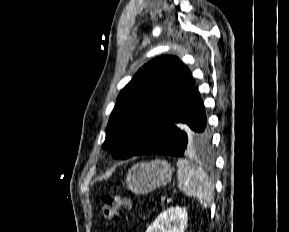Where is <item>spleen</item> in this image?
<instances>
[{"label":"spleen","instance_id":"spleen-1","mask_svg":"<svg viewBox=\"0 0 289 232\" xmlns=\"http://www.w3.org/2000/svg\"><path fill=\"white\" fill-rule=\"evenodd\" d=\"M179 187L189 197L196 198L203 208L211 205L214 186L204 170L186 159L177 161Z\"/></svg>","mask_w":289,"mask_h":232}]
</instances>
